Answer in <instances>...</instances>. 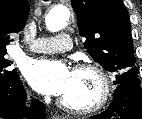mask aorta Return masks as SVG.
<instances>
[{
	"mask_svg": "<svg viewBox=\"0 0 142 119\" xmlns=\"http://www.w3.org/2000/svg\"><path fill=\"white\" fill-rule=\"evenodd\" d=\"M70 11L64 6H57L50 10L45 17V24L49 31L58 32L64 28L69 20Z\"/></svg>",
	"mask_w": 142,
	"mask_h": 119,
	"instance_id": "762f6f07",
	"label": "aorta"
}]
</instances>
